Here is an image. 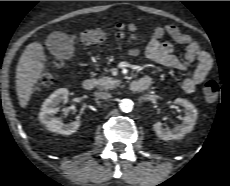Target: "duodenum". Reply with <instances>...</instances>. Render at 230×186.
<instances>
[{"label": "duodenum", "mask_w": 230, "mask_h": 186, "mask_svg": "<svg viewBox=\"0 0 230 186\" xmlns=\"http://www.w3.org/2000/svg\"><path fill=\"white\" fill-rule=\"evenodd\" d=\"M152 84V80L149 77H142L134 80L130 84V89L134 92H142L147 90ZM82 87L85 91H91L95 87V81L91 78L85 79L82 83Z\"/></svg>", "instance_id": "1"}]
</instances>
